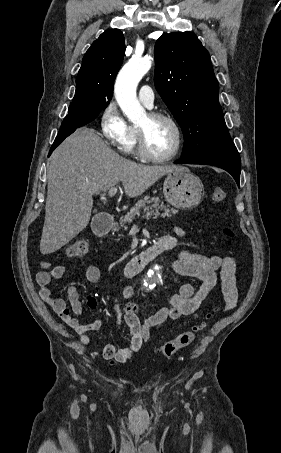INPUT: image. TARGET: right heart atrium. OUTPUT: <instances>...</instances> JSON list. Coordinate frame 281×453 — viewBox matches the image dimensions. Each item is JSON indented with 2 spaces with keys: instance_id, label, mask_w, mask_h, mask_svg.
<instances>
[{
  "instance_id": "1",
  "label": "right heart atrium",
  "mask_w": 281,
  "mask_h": 453,
  "mask_svg": "<svg viewBox=\"0 0 281 453\" xmlns=\"http://www.w3.org/2000/svg\"><path fill=\"white\" fill-rule=\"evenodd\" d=\"M116 99L118 96L124 100H128L130 96V85L128 81L116 80L115 83ZM118 102V99H117ZM116 101H111L103 110L100 116V128L107 140L113 144H119L124 138L127 131V123L121 115ZM110 160L114 164H118L120 158L117 154L110 151L108 153Z\"/></svg>"
}]
</instances>
